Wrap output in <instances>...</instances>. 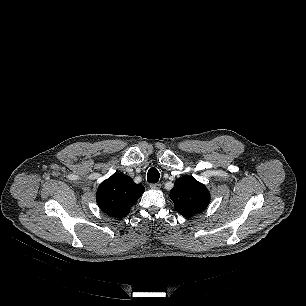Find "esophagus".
Returning <instances> with one entry per match:
<instances>
[{
	"mask_svg": "<svg viewBox=\"0 0 306 306\" xmlns=\"http://www.w3.org/2000/svg\"><path fill=\"white\" fill-rule=\"evenodd\" d=\"M150 188H151V189L158 190V189L161 188V184H160V183H153V184H150Z\"/></svg>",
	"mask_w": 306,
	"mask_h": 306,
	"instance_id": "esophagus-1",
	"label": "esophagus"
}]
</instances>
